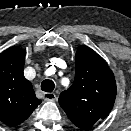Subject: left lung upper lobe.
Returning <instances> with one entry per match:
<instances>
[{
	"mask_svg": "<svg viewBox=\"0 0 131 131\" xmlns=\"http://www.w3.org/2000/svg\"><path fill=\"white\" fill-rule=\"evenodd\" d=\"M115 97L116 82L112 70L94 50L79 46L74 83L59 97V104L68 118L81 129L90 128L108 116Z\"/></svg>",
	"mask_w": 131,
	"mask_h": 131,
	"instance_id": "left-lung-upper-lobe-1",
	"label": "left lung upper lobe"
}]
</instances>
